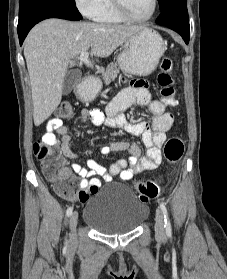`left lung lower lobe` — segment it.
Instances as JSON below:
<instances>
[{
	"label": "left lung lower lobe",
	"mask_w": 227,
	"mask_h": 279,
	"mask_svg": "<svg viewBox=\"0 0 227 279\" xmlns=\"http://www.w3.org/2000/svg\"><path fill=\"white\" fill-rule=\"evenodd\" d=\"M156 23L179 33L186 43L190 39L187 5H172L161 12Z\"/></svg>",
	"instance_id": "obj_1"
}]
</instances>
